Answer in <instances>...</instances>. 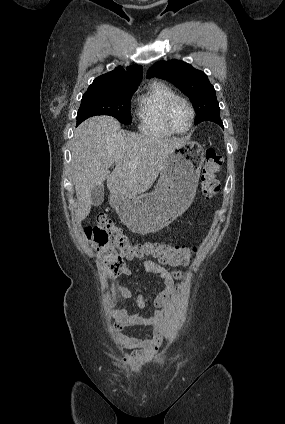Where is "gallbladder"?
<instances>
[{"mask_svg":"<svg viewBox=\"0 0 285 424\" xmlns=\"http://www.w3.org/2000/svg\"><path fill=\"white\" fill-rule=\"evenodd\" d=\"M92 205L97 207L100 206L104 201V187L103 185H97L93 187L91 191Z\"/></svg>","mask_w":285,"mask_h":424,"instance_id":"gallbladder-1","label":"gallbladder"}]
</instances>
